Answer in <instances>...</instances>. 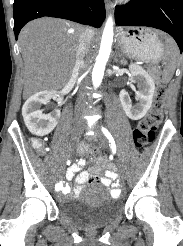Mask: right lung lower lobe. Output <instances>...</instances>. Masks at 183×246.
<instances>
[{
  "instance_id": "98d812e1",
  "label": "right lung lower lobe",
  "mask_w": 183,
  "mask_h": 246,
  "mask_svg": "<svg viewBox=\"0 0 183 246\" xmlns=\"http://www.w3.org/2000/svg\"><path fill=\"white\" fill-rule=\"evenodd\" d=\"M13 11L16 40L27 22L44 16L68 19L96 28L105 19L103 0H14Z\"/></svg>"
}]
</instances>
